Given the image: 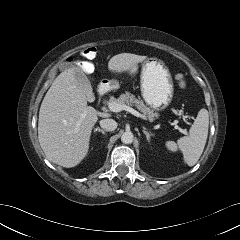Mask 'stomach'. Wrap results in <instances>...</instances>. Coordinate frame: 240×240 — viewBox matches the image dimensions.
<instances>
[{"instance_id":"0dacf381","label":"stomach","mask_w":240,"mask_h":240,"mask_svg":"<svg viewBox=\"0 0 240 240\" xmlns=\"http://www.w3.org/2000/svg\"><path fill=\"white\" fill-rule=\"evenodd\" d=\"M130 73L137 71L136 65L132 66ZM141 94L148 106L155 110L167 108L173 98L174 85L171 74L164 63L157 58L147 59L141 70ZM112 88H118L117 80L109 81Z\"/></svg>"}]
</instances>
